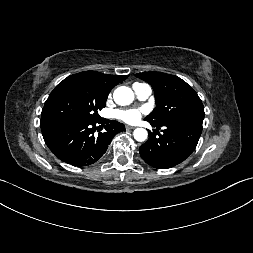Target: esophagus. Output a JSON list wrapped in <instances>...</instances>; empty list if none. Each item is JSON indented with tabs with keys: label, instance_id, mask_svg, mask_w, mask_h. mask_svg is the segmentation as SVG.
<instances>
[{
	"label": "esophagus",
	"instance_id": "obj_1",
	"mask_svg": "<svg viewBox=\"0 0 253 253\" xmlns=\"http://www.w3.org/2000/svg\"><path fill=\"white\" fill-rule=\"evenodd\" d=\"M126 129H127V130H132V129H135V127H134V126L127 125V126H126Z\"/></svg>",
	"mask_w": 253,
	"mask_h": 253
}]
</instances>
